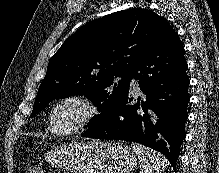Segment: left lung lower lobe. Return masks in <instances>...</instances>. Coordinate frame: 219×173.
<instances>
[{
	"mask_svg": "<svg viewBox=\"0 0 219 173\" xmlns=\"http://www.w3.org/2000/svg\"><path fill=\"white\" fill-rule=\"evenodd\" d=\"M186 70L184 46L173 30L140 57L132 71L145 100L132 105L127 94L106 123L82 136L141 143L164 154L175 170L188 119L190 80Z\"/></svg>",
	"mask_w": 219,
	"mask_h": 173,
	"instance_id": "obj_1",
	"label": "left lung lower lobe"
}]
</instances>
